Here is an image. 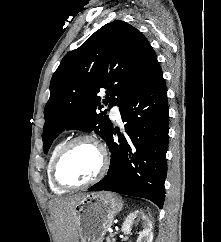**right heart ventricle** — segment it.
Returning <instances> with one entry per match:
<instances>
[{
  "instance_id": "right-heart-ventricle-1",
  "label": "right heart ventricle",
  "mask_w": 221,
  "mask_h": 242,
  "mask_svg": "<svg viewBox=\"0 0 221 242\" xmlns=\"http://www.w3.org/2000/svg\"><path fill=\"white\" fill-rule=\"evenodd\" d=\"M65 141L64 140H60L58 141L52 148L50 154H49V158H48V162H47V178H48V186L50 188V190L54 193L57 194H61L64 193L66 190L62 189L60 187H58L57 185H55V183L52 181L51 178V166L52 163L57 155V153L59 152V150L61 149V147L64 145Z\"/></svg>"
}]
</instances>
